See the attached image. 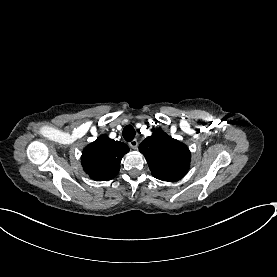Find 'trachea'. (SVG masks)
<instances>
[{"mask_svg":"<svg viewBox=\"0 0 277 277\" xmlns=\"http://www.w3.org/2000/svg\"><path fill=\"white\" fill-rule=\"evenodd\" d=\"M136 131L132 125H127L123 129V137L126 141L130 142L134 139Z\"/></svg>","mask_w":277,"mask_h":277,"instance_id":"3493384b","label":"trachea"}]
</instances>
